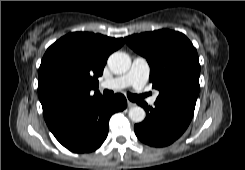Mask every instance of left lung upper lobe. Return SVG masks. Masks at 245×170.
<instances>
[{
    "label": "left lung upper lobe",
    "mask_w": 245,
    "mask_h": 170,
    "mask_svg": "<svg viewBox=\"0 0 245 170\" xmlns=\"http://www.w3.org/2000/svg\"><path fill=\"white\" fill-rule=\"evenodd\" d=\"M126 43L145 57L156 101L194 110L199 93L200 64L196 48L182 33L168 29L131 35Z\"/></svg>",
    "instance_id": "1"
}]
</instances>
